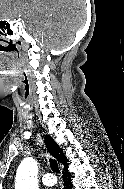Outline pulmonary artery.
Wrapping results in <instances>:
<instances>
[{
  "label": "pulmonary artery",
  "instance_id": "1",
  "mask_svg": "<svg viewBox=\"0 0 124 189\" xmlns=\"http://www.w3.org/2000/svg\"><path fill=\"white\" fill-rule=\"evenodd\" d=\"M41 181L46 186H53L57 183V178L53 174L47 173L42 176Z\"/></svg>",
  "mask_w": 124,
  "mask_h": 189
}]
</instances>
